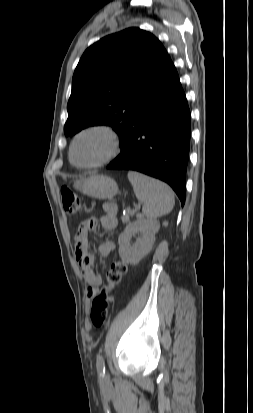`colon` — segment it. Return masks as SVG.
<instances>
[{"instance_id": "5ec220e1", "label": "colon", "mask_w": 253, "mask_h": 413, "mask_svg": "<svg viewBox=\"0 0 253 413\" xmlns=\"http://www.w3.org/2000/svg\"><path fill=\"white\" fill-rule=\"evenodd\" d=\"M61 198L65 211L70 215L81 213V204L78 197L68 187L61 189ZM127 271L125 263L114 261L106 273V286L92 297L91 307L88 313V319L92 326L100 327L105 323L108 317V305L112 299V292L122 281ZM113 286L111 290L109 287Z\"/></svg>"}]
</instances>
